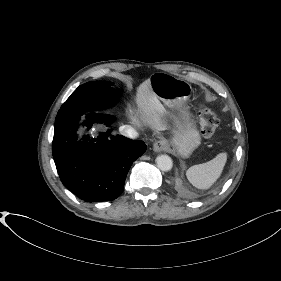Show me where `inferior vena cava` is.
<instances>
[{
	"label": "inferior vena cava",
	"mask_w": 281,
	"mask_h": 281,
	"mask_svg": "<svg viewBox=\"0 0 281 281\" xmlns=\"http://www.w3.org/2000/svg\"><path fill=\"white\" fill-rule=\"evenodd\" d=\"M120 134H122L125 137L135 139L138 136L137 131L131 127L130 125H123L119 128Z\"/></svg>",
	"instance_id": "602c4592"
}]
</instances>
